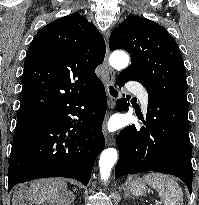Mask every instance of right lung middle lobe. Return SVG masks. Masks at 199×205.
I'll use <instances>...</instances> for the list:
<instances>
[{
  "instance_id": "right-lung-middle-lobe-1",
  "label": "right lung middle lobe",
  "mask_w": 199,
  "mask_h": 205,
  "mask_svg": "<svg viewBox=\"0 0 199 205\" xmlns=\"http://www.w3.org/2000/svg\"><path fill=\"white\" fill-rule=\"evenodd\" d=\"M41 116L38 117H30V118H21L17 119V124L15 130H19L21 128L26 127L27 125L31 124L32 122L36 121L39 119Z\"/></svg>"
}]
</instances>
